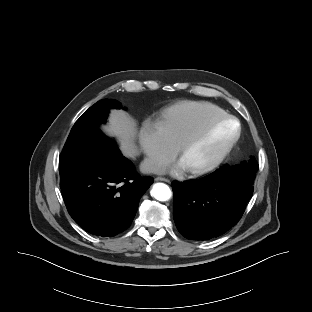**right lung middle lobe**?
Returning <instances> with one entry per match:
<instances>
[{"label":"right lung middle lobe","mask_w":312,"mask_h":312,"mask_svg":"<svg viewBox=\"0 0 312 312\" xmlns=\"http://www.w3.org/2000/svg\"><path fill=\"white\" fill-rule=\"evenodd\" d=\"M121 108L115 100L103 99L87 109L74 124L60 154V180L65 181L117 148L99 124L106 121L109 110Z\"/></svg>","instance_id":"right-lung-middle-lobe-1"}]
</instances>
